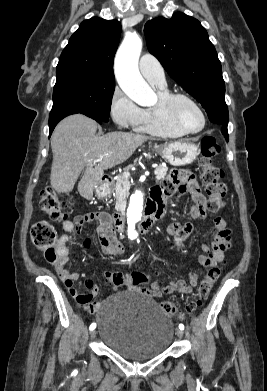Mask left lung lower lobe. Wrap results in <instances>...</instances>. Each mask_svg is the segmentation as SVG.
<instances>
[{
	"instance_id": "0a47b994",
	"label": "left lung lower lobe",
	"mask_w": 267,
	"mask_h": 391,
	"mask_svg": "<svg viewBox=\"0 0 267 391\" xmlns=\"http://www.w3.org/2000/svg\"><path fill=\"white\" fill-rule=\"evenodd\" d=\"M222 134L225 136L226 140L228 141V130L227 125H220Z\"/></svg>"
}]
</instances>
